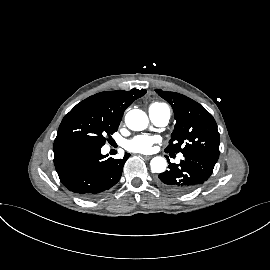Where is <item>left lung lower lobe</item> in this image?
<instances>
[{
	"label": "left lung lower lobe",
	"mask_w": 270,
	"mask_h": 270,
	"mask_svg": "<svg viewBox=\"0 0 270 270\" xmlns=\"http://www.w3.org/2000/svg\"><path fill=\"white\" fill-rule=\"evenodd\" d=\"M180 164L170 163L168 170L159 174L160 184L175 193H187L203 184L212 174L217 160L195 154H183Z\"/></svg>",
	"instance_id": "left-lung-lower-lobe-1"
}]
</instances>
